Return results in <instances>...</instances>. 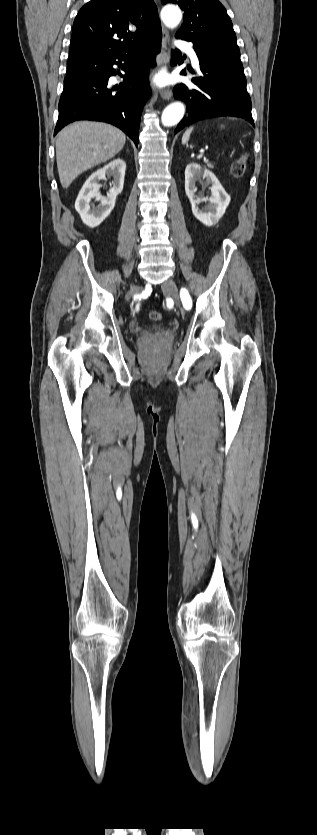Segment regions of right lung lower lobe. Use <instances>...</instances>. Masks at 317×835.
Segmentation results:
<instances>
[{
	"label": "right lung lower lobe",
	"instance_id": "98d812e1",
	"mask_svg": "<svg viewBox=\"0 0 317 835\" xmlns=\"http://www.w3.org/2000/svg\"><path fill=\"white\" fill-rule=\"evenodd\" d=\"M161 38L162 32L158 30L154 37L117 54L105 55L97 51L70 54L66 77L83 72L90 76L65 83L54 135L77 120L102 121L123 130L138 146L141 113L150 97L149 66H155ZM121 62H125L121 65L125 75L113 68ZM117 74L124 78L123 83L111 87L108 79Z\"/></svg>",
	"mask_w": 317,
	"mask_h": 835
}]
</instances>
